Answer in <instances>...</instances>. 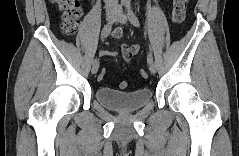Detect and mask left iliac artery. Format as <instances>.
<instances>
[{"label":"left iliac artery","instance_id":"obj_1","mask_svg":"<svg viewBox=\"0 0 239 156\" xmlns=\"http://www.w3.org/2000/svg\"><path fill=\"white\" fill-rule=\"evenodd\" d=\"M126 7H127V11H128V18L130 20V22L136 26V27H139L140 26V22H139V19L137 18V16L134 14V12L132 11L131 9V5L130 3H127L126 4ZM147 62L149 64L153 63V57H152V53L149 52L148 56H147Z\"/></svg>","mask_w":239,"mask_h":156}]
</instances>
